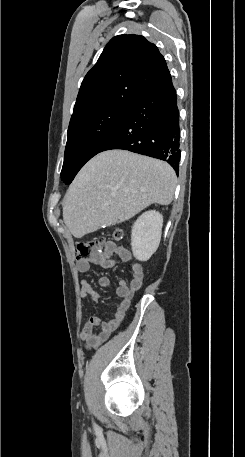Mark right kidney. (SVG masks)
Wrapping results in <instances>:
<instances>
[{"label":"right kidney","instance_id":"obj_1","mask_svg":"<svg viewBox=\"0 0 245 457\" xmlns=\"http://www.w3.org/2000/svg\"><path fill=\"white\" fill-rule=\"evenodd\" d=\"M163 216L157 210L143 212L132 226L131 247L133 253L157 251L162 235Z\"/></svg>","mask_w":245,"mask_h":457}]
</instances>
